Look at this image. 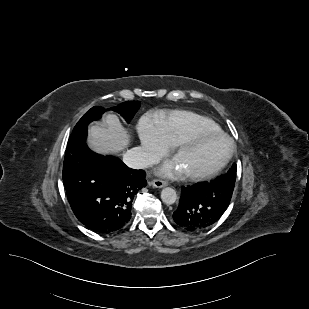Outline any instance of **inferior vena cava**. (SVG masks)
I'll return each instance as SVG.
<instances>
[{
	"label": "inferior vena cava",
	"instance_id": "obj_1",
	"mask_svg": "<svg viewBox=\"0 0 309 309\" xmlns=\"http://www.w3.org/2000/svg\"><path fill=\"white\" fill-rule=\"evenodd\" d=\"M159 161L160 158L157 155L143 151L139 147L128 150L123 156V162L133 169L147 168Z\"/></svg>",
	"mask_w": 309,
	"mask_h": 309
}]
</instances>
